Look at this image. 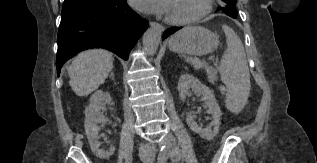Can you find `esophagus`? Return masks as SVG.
Listing matches in <instances>:
<instances>
[{
  "instance_id": "1",
  "label": "esophagus",
  "mask_w": 317,
  "mask_h": 163,
  "mask_svg": "<svg viewBox=\"0 0 317 163\" xmlns=\"http://www.w3.org/2000/svg\"><path fill=\"white\" fill-rule=\"evenodd\" d=\"M150 26L158 30L160 33L164 32L165 28L158 22L151 21Z\"/></svg>"
}]
</instances>
